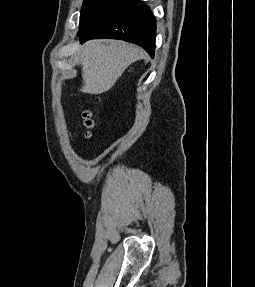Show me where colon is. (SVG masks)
Instances as JSON below:
<instances>
[{
    "instance_id": "1",
    "label": "colon",
    "mask_w": 255,
    "mask_h": 287,
    "mask_svg": "<svg viewBox=\"0 0 255 287\" xmlns=\"http://www.w3.org/2000/svg\"><path fill=\"white\" fill-rule=\"evenodd\" d=\"M83 119H84V124H85V126L87 128L86 136L90 137L91 136V131L96 126L95 113L92 110H90V109H86L83 112Z\"/></svg>"
}]
</instances>
